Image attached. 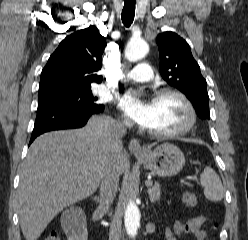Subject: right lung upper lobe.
Returning <instances> with one entry per match:
<instances>
[{
    "label": "right lung upper lobe",
    "instance_id": "obj_1",
    "mask_svg": "<svg viewBox=\"0 0 248 240\" xmlns=\"http://www.w3.org/2000/svg\"><path fill=\"white\" fill-rule=\"evenodd\" d=\"M106 39L96 26L76 31L66 37L50 56L42 70L38 97L66 95L90 89L100 83L102 54Z\"/></svg>",
    "mask_w": 248,
    "mask_h": 240
}]
</instances>
